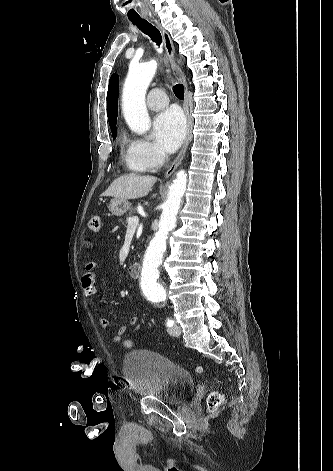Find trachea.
<instances>
[{"mask_svg":"<svg viewBox=\"0 0 333 471\" xmlns=\"http://www.w3.org/2000/svg\"><path fill=\"white\" fill-rule=\"evenodd\" d=\"M132 22L146 35H148L153 42H155L158 46H160L162 42V37L159 30L150 24L148 21L140 19V20H132ZM174 93L177 98L183 99L184 98V89L182 84H176L174 86Z\"/></svg>","mask_w":333,"mask_h":471,"instance_id":"1","label":"trachea"}]
</instances>
